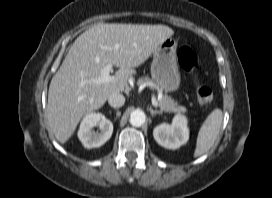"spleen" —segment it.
Masks as SVG:
<instances>
[{"label": "spleen", "mask_w": 272, "mask_h": 198, "mask_svg": "<svg viewBox=\"0 0 272 198\" xmlns=\"http://www.w3.org/2000/svg\"><path fill=\"white\" fill-rule=\"evenodd\" d=\"M223 113L221 109H214L202 124L196 142L194 157H199L213 146L222 125Z\"/></svg>", "instance_id": "obj_1"}]
</instances>
